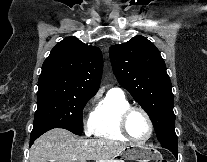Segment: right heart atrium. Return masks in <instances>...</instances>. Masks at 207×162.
<instances>
[{"instance_id": "obj_1", "label": "right heart atrium", "mask_w": 207, "mask_h": 162, "mask_svg": "<svg viewBox=\"0 0 207 162\" xmlns=\"http://www.w3.org/2000/svg\"><path fill=\"white\" fill-rule=\"evenodd\" d=\"M94 99H91L87 106L90 108L93 104ZM92 115V114H91ZM91 115L88 117V119L85 121V127H86V132L90 133L91 132Z\"/></svg>"}]
</instances>
